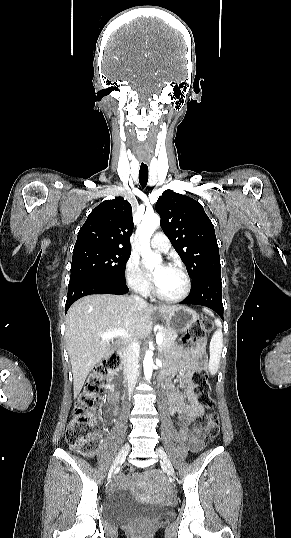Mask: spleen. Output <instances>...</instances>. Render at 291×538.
I'll use <instances>...</instances> for the list:
<instances>
[{"mask_svg": "<svg viewBox=\"0 0 291 538\" xmlns=\"http://www.w3.org/2000/svg\"><path fill=\"white\" fill-rule=\"evenodd\" d=\"M203 310L207 313H210V311L206 308H204ZM215 324L218 326V330L214 332L209 345L210 359L208 369L212 375H215L218 371L223 347V336L220 320L216 319Z\"/></svg>", "mask_w": 291, "mask_h": 538, "instance_id": "obj_1", "label": "spleen"}]
</instances>
